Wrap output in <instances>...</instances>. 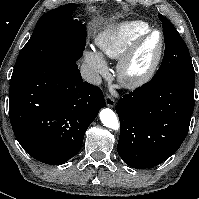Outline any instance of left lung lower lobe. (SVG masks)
<instances>
[{"label":"left lung lower lobe","mask_w":199,"mask_h":199,"mask_svg":"<svg viewBox=\"0 0 199 199\" xmlns=\"http://www.w3.org/2000/svg\"><path fill=\"white\" fill-rule=\"evenodd\" d=\"M195 77L174 75L151 80L120 98L117 151L130 167H154L184 141L194 109Z\"/></svg>","instance_id":"0a47b994"}]
</instances>
